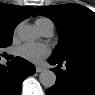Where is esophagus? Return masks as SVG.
I'll use <instances>...</instances> for the list:
<instances>
[{
	"label": "esophagus",
	"mask_w": 95,
	"mask_h": 95,
	"mask_svg": "<svg viewBox=\"0 0 95 95\" xmlns=\"http://www.w3.org/2000/svg\"><path fill=\"white\" fill-rule=\"evenodd\" d=\"M44 70V68L43 67H41V66H36V72H42Z\"/></svg>",
	"instance_id": "1"
}]
</instances>
